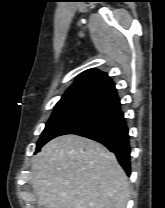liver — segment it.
I'll return each mask as SVG.
<instances>
[{"instance_id": "liver-1", "label": "liver", "mask_w": 165, "mask_h": 208, "mask_svg": "<svg viewBox=\"0 0 165 208\" xmlns=\"http://www.w3.org/2000/svg\"><path fill=\"white\" fill-rule=\"evenodd\" d=\"M31 183L45 208H126L129 182L116 156L78 135L56 137L34 157Z\"/></svg>"}]
</instances>
